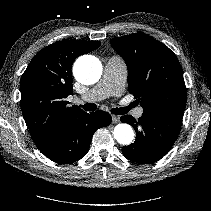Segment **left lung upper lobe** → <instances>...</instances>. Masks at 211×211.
Here are the masks:
<instances>
[{
  "instance_id": "obj_1",
  "label": "left lung upper lobe",
  "mask_w": 211,
  "mask_h": 211,
  "mask_svg": "<svg viewBox=\"0 0 211 211\" xmlns=\"http://www.w3.org/2000/svg\"><path fill=\"white\" fill-rule=\"evenodd\" d=\"M128 68V88L144 112L183 111L186 88L176 55L163 43L143 33L111 39Z\"/></svg>"
}]
</instances>
